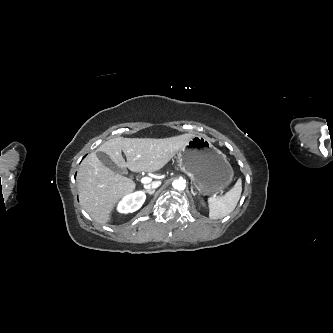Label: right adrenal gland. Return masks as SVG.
I'll list each match as a JSON object with an SVG mask.
<instances>
[{"label": "right adrenal gland", "instance_id": "1", "mask_svg": "<svg viewBox=\"0 0 333 333\" xmlns=\"http://www.w3.org/2000/svg\"><path fill=\"white\" fill-rule=\"evenodd\" d=\"M145 193H148L150 195H153L155 193V190H146Z\"/></svg>", "mask_w": 333, "mask_h": 333}]
</instances>
